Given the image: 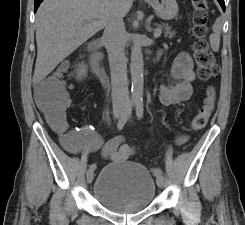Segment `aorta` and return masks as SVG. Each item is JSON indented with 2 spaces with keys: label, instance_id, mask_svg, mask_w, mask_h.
I'll use <instances>...</instances> for the list:
<instances>
[{
  "label": "aorta",
  "instance_id": "aorta-1",
  "mask_svg": "<svg viewBox=\"0 0 245 225\" xmlns=\"http://www.w3.org/2000/svg\"><path fill=\"white\" fill-rule=\"evenodd\" d=\"M144 63L142 47L138 41H135L131 48V62H130V72H131V100L134 103L142 102L143 100V89H144Z\"/></svg>",
  "mask_w": 245,
  "mask_h": 225
}]
</instances>
